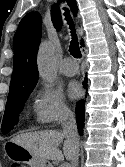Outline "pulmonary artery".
I'll return each mask as SVG.
<instances>
[{
	"instance_id": "e3ab8cb5",
	"label": "pulmonary artery",
	"mask_w": 125,
	"mask_h": 167,
	"mask_svg": "<svg viewBox=\"0 0 125 167\" xmlns=\"http://www.w3.org/2000/svg\"><path fill=\"white\" fill-rule=\"evenodd\" d=\"M59 69L66 76H74L79 71V65L73 58L66 57L60 63Z\"/></svg>"
}]
</instances>
